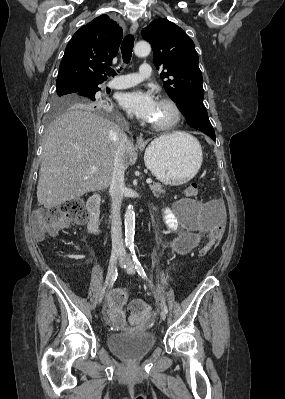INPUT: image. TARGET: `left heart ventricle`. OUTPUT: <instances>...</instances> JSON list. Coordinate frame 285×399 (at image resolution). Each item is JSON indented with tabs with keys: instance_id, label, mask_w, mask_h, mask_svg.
<instances>
[{
	"instance_id": "1",
	"label": "left heart ventricle",
	"mask_w": 285,
	"mask_h": 399,
	"mask_svg": "<svg viewBox=\"0 0 285 399\" xmlns=\"http://www.w3.org/2000/svg\"><path fill=\"white\" fill-rule=\"evenodd\" d=\"M173 118L172 109L163 103H158L157 111L152 123L163 124L171 121Z\"/></svg>"
}]
</instances>
